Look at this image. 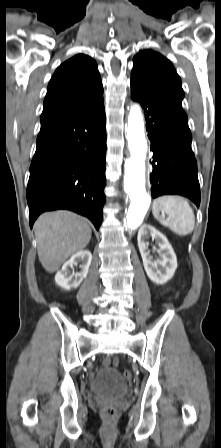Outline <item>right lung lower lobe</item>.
<instances>
[{
    "instance_id": "obj_1",
    "label": "right lung lower lobe",
    "mask_w": 221,
    "mask_h": 448,
    "mask_svg": "<svg viewBox=\"0 0 221 448\" xmlns=\"http://www.w3.org/2000/svg\"><path fill=\"white\" fill-rule=\"evenodd\" d=\"M103 97L41 127L27 186L29 223L44 211L68 209L99 229L105 203Z\"/></svg>"
}]
</instances>
